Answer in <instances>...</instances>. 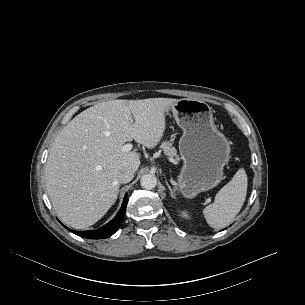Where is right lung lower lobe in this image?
Masks as SVG:
<instances>
[{"label":"right lung lower lobe","instance_id":"right-lung-lower-lobe-1","mask_svg":"<svg viewBox=\"0 0 305 305\" xmlns=\"http://www.w3.org/2000/svg\"><path fill=\"white\" fill-rule=\"evenodd\" d=\"M127 203H128V195L126 194L125 198L123 200V203H122V207L119 210L118 214L115 216V218L113 220H111L109 223H107L103 227H101L97 230H91V231L72 230V232L77 234L78 236H81V237H84L87 239H102V238L110 237L120 227V225L125 217V210H126Z\"/></svg>","mask_w":305,"mask_h":305}]
</instances>
